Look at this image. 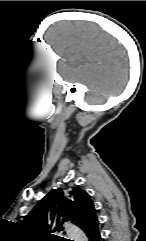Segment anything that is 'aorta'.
Instances as JSON below:
<instances>
[{
	"instance_id": "762f6f07",
	"label": "aorta",
	"mask_w": 146,
	"mask_h": 241,
	"mask_svg": "<svg viewBox=\"0 0 146 241\" xmlns=\"http://www.w3.org/2000/svg\"><path fill=\"white\" fill-rule=\"evenodd\" d=\"M67 234L70 237L71 240L74 241H87V238L85 234L76 226L71 225V224H66L65 225Z\"/></svg>"
}]
</instances>
